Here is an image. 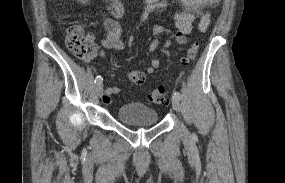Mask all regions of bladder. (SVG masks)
Segmentation results:
<instances>
[{
    "label": "bladder",
    "instance_id": "bladder-1",
    "mask_svg": "<svg viewBox=\"0 0 285 183\" xmlns=\"http://www.w3.org/2000/svg\"><path fill=\"white\" fill-rule=\"evenodd\" d=\"M120 122L126 124L154 125L158 122V113L141 103H127L117 111Z\"/></svg>",
    "mask_w": 285,
    "mask_h": 183
}]
</instances>
